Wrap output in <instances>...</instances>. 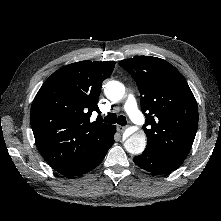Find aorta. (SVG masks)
Wrapping results in <instances>:
<instances>
[{"label":"aorta","instance_id":"obj_1","mask_svg":"<svg viewBox=\"0 0 221 221\" xmlns=\"http://www.w3.org/2000/svg\"><path fill=\"white\" fill-rule=\"evenodd\" d=\"M104 94L111 101H120L125 95V86L115 80L108 81L104 85ZM146 147V135L143 131L133 133L124 142V148L127 152L134 155L141 154Z\"/></svg>","mask_w":221,"mask_h":221}]
</instances>
